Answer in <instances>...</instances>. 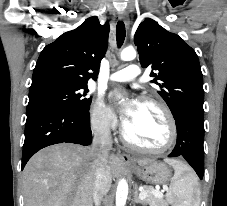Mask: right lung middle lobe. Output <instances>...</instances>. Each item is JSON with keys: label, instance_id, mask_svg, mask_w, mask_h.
I'll use <instances>...</instances> for the list:
<instances>
[{"label": "right lung middle lobe", "instance_id": "1", "mask_svg": "<svg viewBox=\"0 0 227 206\" xmlns=\"http://www.w3.org/2000/svg\"><path fill=\"white\" fill-rule=\"evenodd\" d=\"M87 85L60 80H42L32 83L29 91L27 113L43 107L86 111L92 101L87 95Z\"/></svg>", "mask_w": 227, "mask_h": 206}]
</instances>
